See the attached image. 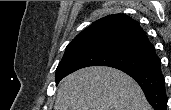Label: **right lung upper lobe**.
<instances>
[{
  "label": "right lung upper lobe",
  "instance_id": "1",
  "mask_svg": "<svg viewBox=\"0 0 171 110\" xmlns=\"http://www.w3.org/2000/svg\"><path fill=\"white\" fill-rule=\"evenodd\" d=\"M91 42L124 46L158 58L153 44L139 23L125 14L108 15L95 21L78 34L66 48Z\"/></svg>",
  "mask_w": 171,
  "mask_h": 110
}]
</instances>
